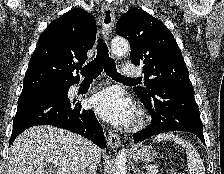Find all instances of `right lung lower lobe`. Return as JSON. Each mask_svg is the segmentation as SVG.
Wrapping results in <instances>:
<instances>
[{
    "label": "right lung lower lobe",
    "mask_w": 224,
    "mask_h": 174,
    "mask_svg": "<svg viewBox=\"0 0 224 174\" xmlns=\"http://www.w3.org/2000/svg\"><path fill=\"white\" fill-rule=\"evenodd\" d=\"M69 85L42 86L23 90L9 144L24 130L36 125H53L75 132L105 147L103 128L92 110L83 109L67 97Z\"/></svg>",
    "instance_id": "1"
}]
</instances>
